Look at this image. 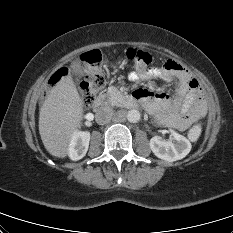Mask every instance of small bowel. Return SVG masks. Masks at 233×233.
<instances>
[{
	"label": "small bowel",
	"instance_id": "1",
	"mask_svg": "<svg viewBox=\"0 0 233 233\" xmlns=\"http://www.w3.org/2000/svg\"><path fill=\"white\" fill-rule=\"evenodd\" d=\"M155 78L178 81L174 96L148 89L135 91V97L142 101L159 123L183 131L203 117L206 104L200 84L183 65L170 59L161 67L138 69L130 74L133 81Z\"/></svg>",
	"mask_w": 233,
	"mask_h": 233
}]
</instances>
